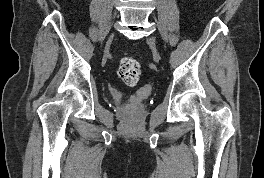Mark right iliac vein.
Returning a JSON list of instances; mask_svg holds the SVG:
<instances>
[{"mask_svg": "<svg viewBox=\"0 0 264 178\" xmlns=\"http://www.w3.org/2000/svg\"><path fill=\"white\" fill-rule=\"evenodd\" d=\"M113 40V35H111L106 43V47H105V53H107L109 51L110 45L112 43Z\"/></svg>", "mask_w": 264, "mask_h": 178, "instance_id": "63e3f726", "label": "right iliac vein"}]
</instances>
